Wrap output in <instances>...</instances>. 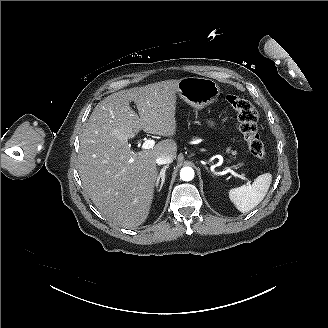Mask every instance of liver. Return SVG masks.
Masks as SVG:
<instances>
[{"mask_svg": "<svg viewBox=\"0 0 328 328\" xmlns=\"http://www.w3.org/2000/svg\"><path fill=\"white\" fill-rule=\"evenodd\" d=\"M179 81L168 80L109 95L98 103L80 135L79 174L99 211L125 229L146 222L158 177L156 159L177 157ZM134 102L140 117L130 107ZM169 137L135 153L128 141L141 130Z\"/></svg>", "mask_w": 328, "mask_h": 328, "instance_id": "obj_1", "label": "liver"}]
</instances>
